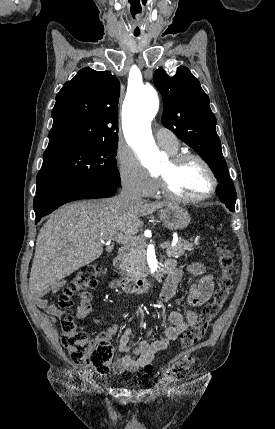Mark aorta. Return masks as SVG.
I'll return each mask as SVG.
<instances>
[{"instance_id":"762f6f07","label":"aorta","mask_w":275,"mask_h":429,"mask_svg":"<svg viewBox=\"0 0 275 429\" xmlns=\"http://www.w3.org/2000/svg\"><path fill=\"white\" fill-rule=\"evenodd\" d=\"M158 110L159 98L150 85L131 89L122 110V126L126 140L150 172L158 171L161 162L151 132V122Z\"/></svg>"}]
</instances>
